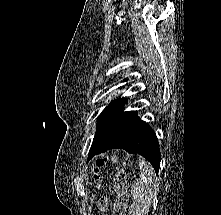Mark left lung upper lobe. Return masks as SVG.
Returning a JSON list of instances; mask_svg holds the SVG:
<instances>
[{"label": "left lung upper lobe", "mask_w": 221, "mask_h": 215, "mask_svg": "<svg viewBox=\"0 0 221 215\" xmlns=\"http://www.w3.org/2000/svg\"><path fill=\"white\" fill-rule=\"evenodd\" d=\"M125 99H117L112 101L100 114L97 120V131L95 133L94 139L107 129L120 115L124 112L122 111Z\"/></svg>", "instance_id": "left-lung-upper-lobe-1"}]
</instances>
